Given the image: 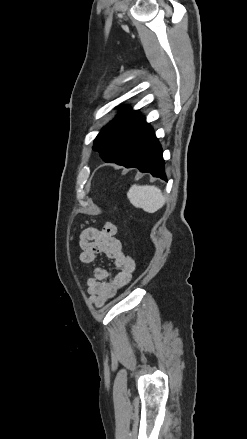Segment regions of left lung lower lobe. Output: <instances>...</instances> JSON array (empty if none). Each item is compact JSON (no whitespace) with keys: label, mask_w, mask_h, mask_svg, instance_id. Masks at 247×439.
<instances>
[{"label":"left lung lower lobe","mask_w":247,"mask_h":439,"mask_svg":"<svg viewBox=\"0 0 247 439\" xmlns=\"http://www.w3.org/2000/svg\"><path fill=\"white\" fill-rule=\"evenodd\" d=\"M122 165L127 168L136 167L141 172L165 179L162 148L149 124L136 137Z\"/></svg>","instance_id":"obj_1"}]
</instances>
